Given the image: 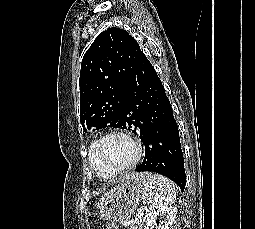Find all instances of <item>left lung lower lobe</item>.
<instances>
[{
  "label": "left lung lower lobe",
  "instance_id": "0a47b994",
  "mask_svg": "<svg viewBox=\"0 0 255 229\" xmlns=\"http://www.w3.org/2000/svg\"><path fill=\"white\" fill-rule=\"evenodd\" d=\"M123 119L145 146L136 171L162 174L183 191L186 175L178 126L162 82L144 53L124 93Z\"/></svg>",
  "mask_w": 255,
  "mask_h": 229
}]
</instances>
